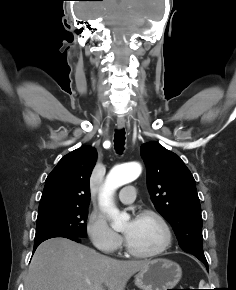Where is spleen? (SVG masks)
Listing matches in <instances>:
<instances>
[{
	"mask_svg": "<svg viewBox=\"0 0 236 290\" xmlns=\"http://www.w3.org/2000/svg\"><path fill=\"white\" fill-rule=\"evenodd\" d=\"M203 285H204V281H201V282H200V286H203Z\"/></svg>",
	"mask_w": 236,
	"mask_h": 290,
	"instance_id": "3e777b00",
	"label": "spleen"
}]
</instances>
